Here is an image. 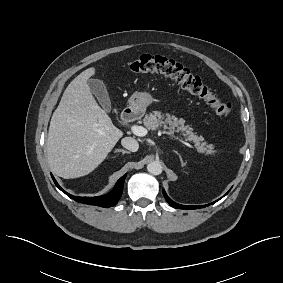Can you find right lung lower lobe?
I'll return each mask as SVG.
<instances>
[{
	"mask_svg": "<svg viewBox=\"0 0 283 283\" xmlns=\"http://www.w3.org/2000/svg\"><path fill=\"white\" fill-rule=\"evenodd\" d=\"M126 174L122 176L116 183L115 187L112 189L111 192H109L106 195L103 196H97V197H79V196H73L66 191H64L56 182L54 177L52 176L56 186L67 196L72 198L73 200L84 203V204H89V205H96L100 207H111L114 206L118 200L120 199L122 192H123V185H124V180H125Z\"/></svg>",
	"mask_w": 283,
	"mask_h": 283,
	"instance_id": "1",
	"label": "right lung lower lobe"
}]
</instances>
